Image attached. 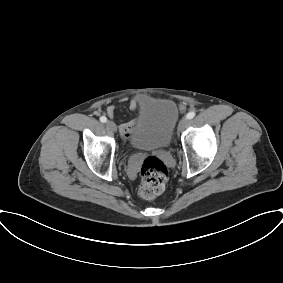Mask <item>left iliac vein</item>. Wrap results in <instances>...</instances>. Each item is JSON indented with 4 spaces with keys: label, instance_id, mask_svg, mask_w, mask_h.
<instances>
[{
    "label": "left iliac vein",
    "instance_id": "left-iliac-vein-1",
    "mask_svg": "<svg viewBox=\"0 0 283 283\" xmlns=\"http://www.w3.org/2000/svg\"><path fill=\"white\" fill-rule=\"evenodd\" d=\"M187 124H188V119L187 118L182 119L179 123L178 130L183 131L187 126Z\"/></svg>",
    "mask_w": 283,
    "mask_h": 283
}]
</instances>
